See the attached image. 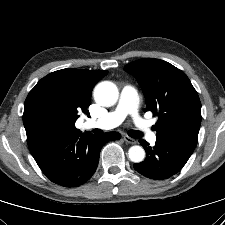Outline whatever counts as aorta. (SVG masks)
Returning <instances> with one entry per match:
<instances>
[{
  "label": "aorta",
  "instance_id": "762f6f07",
  "mask_svg": "<svg viewBox=\"0 0 225 225\" xmlns=\"http://www.w3.org/2000/svg\"><path fill=\"white\" fill-rule=\"evenodd\" d=\"M118 97L117 86L110 81H103L94 89V99L101 106H113L117 102ZM128 156L132 162L139 163L144 160L145 151L141 146L135 145L130 147Z\"/></svg>",
  "mask_w": 225,
  "mask_h": 225
}]
</instances>
